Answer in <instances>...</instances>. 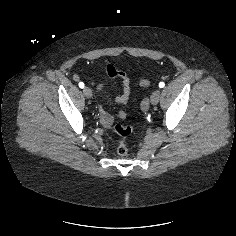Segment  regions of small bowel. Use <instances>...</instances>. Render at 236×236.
I'll return each instance as SVG.
<instances>
[{
    "instance_id": "obj_1",
    "label": "small bowel",
    "mask_w": 236,
    "mask_h": 236,
    "mask_svg": "<svg viewBox=\"0 0 236 236\" xmlns=\"http://www.w3.org/2000/svg\"><path fill=\"white\" fill-rule=\"evenodd\" d=\"M106 74L109 78L117 80L122 84V91L121 93L115 96V101L119 104L127 103L131 95V86L128 77L124 73L119 72L114 66L110 64L106 66ZM105 86L106 83H101L98 86L97 91L99 93L102 92ZM99 114H100V121L102 122L103 125L110 126L112 124L113 115L106 108L101 107ZM116 116L120 119H125L127 115L125 111L118 110L116 112Z\"/></svg>"
}]
</instances>
